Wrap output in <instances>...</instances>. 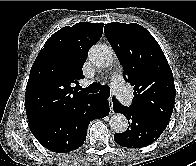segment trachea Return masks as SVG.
<instances>
[{
  "mask_svg": "<svg viewBox=\"0 0 196 166\" xmlns=\"http://www.w3.org/2000/svg\"><path fill=\"white\" fill-rule=\"evenodd\" d=\"M79 89H81L87 93L100 92L101 94H103L107 98L110 96V88L106 85L102 86L100 83H93L86 88H79Z\"/></svg>",
  "mask_w": 196,
  "mask_h": 166,
  "instance_id": "trachea-1",
  "label": "trachea"
}]
</instances>
